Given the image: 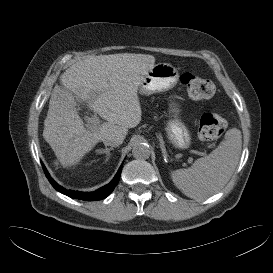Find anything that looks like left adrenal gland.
Instances as JSON below:
<instances>
[{
	"mask_svg": "<svg viewBox=\"0 0 273 273\" xmlns=\"http://www.w3.org/2000/svg\"><path fill=\"white\" fill-rule=\"evenodd\" d=\"M162 152H163V156L165 157L166 156L165 150L162 149Z\"/></svg>",
	"mask_w": 273,
	"mask_h": 273,
	"instance_id": "left-adrenal-gland-1",
	"label": "left adrenal gland"
}]
</instances>
